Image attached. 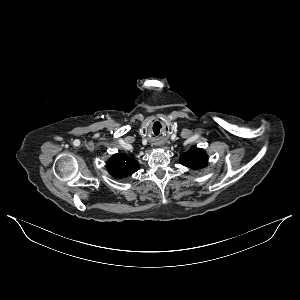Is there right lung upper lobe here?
Segmentation results:
<instances>
[{
    "label": "right lung upper lobe",
    "mask_w": 300,
    "mask_h": 300,
    "mask_svg": "<svg viewBox=\"0 0 300 300\" xmlns=\"http://www.w3.org/2000/svg\"><path fill=\"white\" fill-rule=\"evenodd\" d=\"M109 173L115 178L127 177L139 169L138 162L121 153L113 155L108 163Z\"/></svg>",
    "instance_id": "right-lung-upper-lobe-1"
}]
</instances>
